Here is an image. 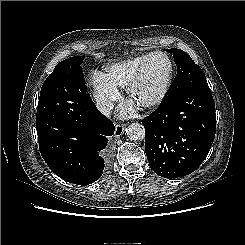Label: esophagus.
Listing matches in <instances>:
<instances>
[{"mask_svg": "<svg viewBox=\"0 0 245 245\" xmlns=\"http://www.w3.org/2000/svg\"><path fill=\"white\" fill-rule=\"evenodd\" d=\"M125 127L126 124H117L114 132L115 137H120L124 133Z\"/></svg>", "mask_w": 245, "mask_h": 245, "instance_id": "esophagus-1", "label": "esophagus"}]
</instances>
